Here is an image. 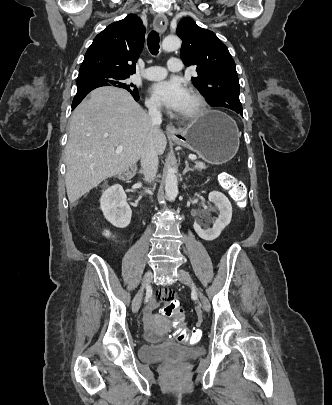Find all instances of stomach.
Masks as SVG:
<instances>
[{
    "mask_svg": "<svg viewBox=\"0 0 332 405\" xmlns=\"http://www.w3.org/2000/svg\"><path fill=\"white\" fill-rule=\"evenodd\" d=\"M169 138L214 165L230 161L239 149L237 125L220 111L204 112L182 129L178 136Z\"/></svg>",
    "mask_w": 332,
    "mask_h": 405,
    "instance_id": "obj_1",
    "label": "stomach"
}]
</instances>
